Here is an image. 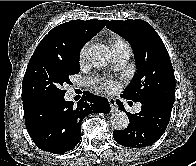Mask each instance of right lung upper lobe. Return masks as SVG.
Here are the masks:
<instances>
[{
  "mask_svg": "<svg viewBox=\"0 0 196 166\" xmlns=\"http://www.w3.org/2000/svg\"><path fill=\"white\" fill-rule=\"evenodd\" d=\"M107 20H71L54 27L41 40L35 53H45L62 60H72L80 55L83 45L100 32Z\"/></svg>",
  "mask_w": 196,
  "mask_h": 166,
  "instance_id": "right-lung-upper-lobe-1",
  "label": "right lung upper lobe"
}]
</instances>
